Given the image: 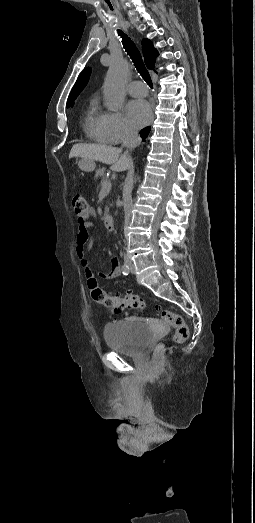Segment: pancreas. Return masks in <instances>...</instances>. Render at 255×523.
<instances>
[{
	"mask_svg": "<svg viewBox=\"0 0 255 523\" xmlns=\"http://www.w3.org/2000/svg\"><path fill=\"white\" fill-rule=\"evenodd\" d=\"M106 172H108L106 168H100V170H96L95 178H101V184H103V182H109V178L106 176ZM108 212L109 208H105V214H108Z\"/></svg>",
	"mask_w": 255,
	"mask_h": 523,
	"instance_id": "1",
	"label": "pancreas"
}]
</instances>
